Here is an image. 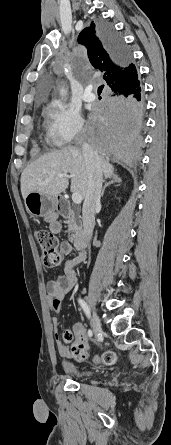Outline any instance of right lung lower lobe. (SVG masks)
Wrapping results in <instances>:
<instances>
[{"instance_id":"1","label":"right lung lower lobe","mask_w":171,"mask_h":445,"mask_svg":"<svg viewBox=\"0 0 171 445\" xmlns=\"http://www.w3.org/2000/svg\"><path fill=\"white\" fill-rule=\"evenodd\" d=\"M99 30L110 54L126 67L130 52L110 25L100 24ZM144 102L139 79L110 90L90 116L85 132L92 147L101 155L127 165L140 157Z\"/></svg>"}]
</instances>
